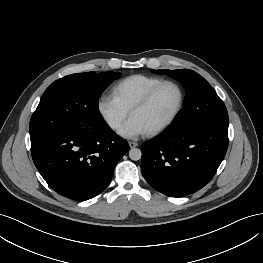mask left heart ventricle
Returning a JSON list of instances; mask_svg holds the SVG:
<instances>
[{"instance_id": "obj_1", "label": "left heart ventricle", "mask_w": 263, "mask_h": 263, "mask_svg": "<svg viewBox=\"0 0 263 263\" xmlns=\"http://www.w3.org/2000/svg\"><path fill=\"white\" fill-rule=\"evenodd\" d=\"M179 101V92L173 85L162 86L142 109L135 111L132 117L138 119L147 131L166 121L174 112Z\"/></svg>"}]
</instances>
